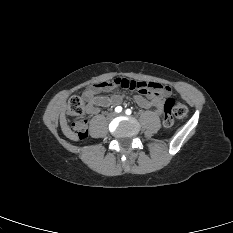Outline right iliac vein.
Here are the masks:
<instances>
[{"instance_id":"right-iliac-vein-1","label":"right iliac vein","mask_w":233,"mask_h":233,"mask_svg":"<svg viewBox=\"0 0 233 233\" xmlns=\"http://www.w3.org/2000/svg\"><path fill=\"white\" fill-rule=\"evenodd\" d=\"M114 117H115V114H114V113H110V114L108 115V119H109V120H112Z\"/></svg>"}]
</instances>
